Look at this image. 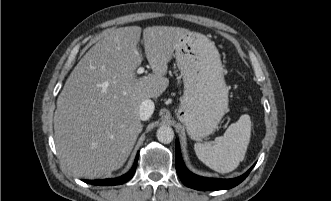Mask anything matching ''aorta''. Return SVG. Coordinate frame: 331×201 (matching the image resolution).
Here are the masks:
<instances>
[{"label": "aorta", "mask_w": 331, "mask_h": 201, "mask_svg": "<svg viewBox=\"0 0 331 201\" xmlns=\"http://www.w3.org/2000/svg\"><path fill=\"white\" fill-rule=\"evenodd\" d=\"M159 142L168 144L173 141L174 131L169 126H160L156 133Z\"/></svg>", "instance_id": "aorta-1"}]
</instances>
